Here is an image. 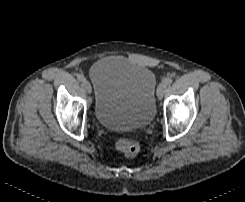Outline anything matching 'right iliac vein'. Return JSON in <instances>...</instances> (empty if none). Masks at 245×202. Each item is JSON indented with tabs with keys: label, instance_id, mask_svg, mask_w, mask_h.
Here are the masks:
<instances>
[{
	"label": "right iliac vein",
	"instance_id": "obj_1",
	"mask_svg": "<svg viewBox=\"0 0 245 202\" xmlns=\"http://www.w3.org/2000/svg\"><path fill=\"white\" fill-rule=\"evenodd\" d=\"M82 85L89 94L92 92V87L88 80L84 79Z\"/></svg>",
	"mask_w": 245,
	"mask_h": 202
}]
</instances>
